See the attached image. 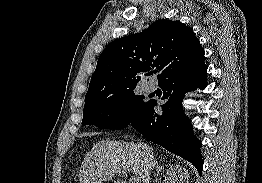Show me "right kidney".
<instances>
[{
	"instance_id": "obj_1",
	"label": "right kidney",
	"mask_w": 262,
	"mask_h": 183,
	"mask_svg": "<svg viewBox=\"0 0 262 183\" xmlns=\"http://www.w3.org/2000/svg\"><path fill=\"white\" fill-rule=\"evenodd\" d=\"M189 173L182 166H171L165 176V183H189Z\"/></svg>"
}]
</instances>
